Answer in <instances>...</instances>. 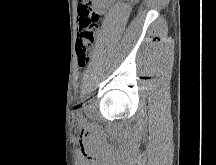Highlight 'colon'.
I'll return each mask as SVG.
<instances>
[{
    "mask_svg": "<svg viewBox=\"0 0 216 165\" xmlns=\"http://www.w3.org/2000/svg\"><path fill=\"white\" fill-rule=\"evenodd\" d=\"M77 40L78 63L84 67L90 60L100 27V17L93 10H82Z\"/></svg>",
    "mask_w": 216,
    "mask_h": 165,
    "instance_id": "1",
    "label": "colon"
}]
</instances>
